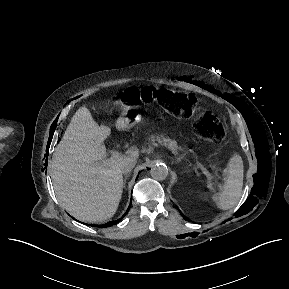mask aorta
Masks as SVG:
<instances>
[{"label": "aorta", "mask_w": 289, "mask_h": 289, "mask_svg": "<svg viewBox=\"0 0 289 289\" xmlns=\"http://www.w3.org/2000/svg\"><path fill=\"white\" fill-rule=\"evenodd\" d=\"M151 177L155 180H165L168 176V168L163 164H155L150 170Z\"/></svg>", "instance_id": "1"}]
</instances>
